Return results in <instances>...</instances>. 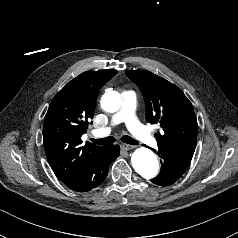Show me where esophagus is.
<instances>
[{"instance_id": "esophagus-1", "label": "esophagus", "mask_w": 238, "mask_h": 238, "mask_svg": "<svg viewBox=\"0 0 238 238\" xmlns=\"http://www.w3.org/2000/svg\"><path fill=\"white\" fill-rule=\"evenodd\" d=\"M121 147H122V149H124V150H132V149H134L136 146L129 145V144H122Z\"/></svg>"}]
</instances>
